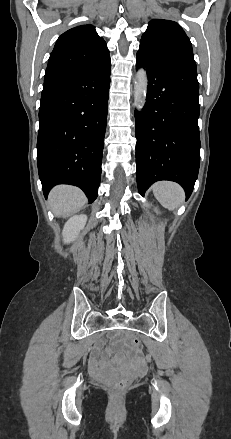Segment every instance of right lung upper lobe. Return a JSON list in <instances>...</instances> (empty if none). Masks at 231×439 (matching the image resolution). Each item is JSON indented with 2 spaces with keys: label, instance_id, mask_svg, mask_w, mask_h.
<instances>
[{
  "label": "right lung upper lobe",
  "instance_id": "cb5924a9",
  "mask_svg": "<svg viewBox=\"0 0 231 439\" xmlns=\"http://www.w3.org/2000/svg\"><path fill=\"white\" fill-rule=\"evenodd\" d=\"M110 59L106 42L92 25L63 33L50 54L44 83L89 73Z\"/></svg>",
  "mask_w": 231,
  "mask_h": 439
}]
</instances>
